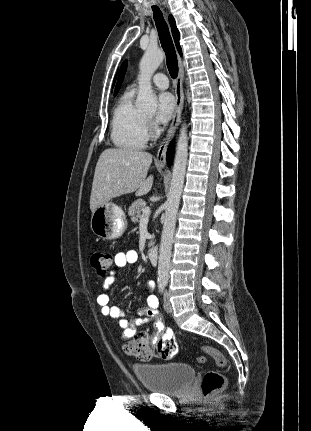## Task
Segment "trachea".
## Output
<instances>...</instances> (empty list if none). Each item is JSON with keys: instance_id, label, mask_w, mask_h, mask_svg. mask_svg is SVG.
Wrapping results in <instances>:
<instances>
[{"instance_id": "3493384b", "label": "trachea", "mask_w": 311, "mask_h": 431, "mask_svg": "<svg viewBox=\"0 0 311 431\" xmlns=\"http://www.w3.org/2000/svg\"><path fill=\"white\" fill-rule=\"evenodd\" d=\"M153 17L157 27L161 46L166 55L167 68L172 78L178 76V60L176 51L173 45L172 38L168 29V25L163 18V14L158 7H152Z\"/></svg>"}]
</instances>
